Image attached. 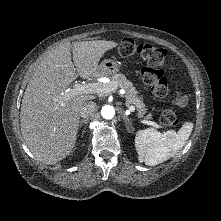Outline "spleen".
<instances>
[{
    "instance_id": "spleen-1",
    "label": "spleen",
    "mask_w": 221,
    "mask_h": 221,
    "mask_svg": "<svg viewBox=\"0 0 221 221\" xmlns=\"http://www.w3.org/2000/svg\"><path fill=\"white\" fill-rule=\"evenodd\" d=\"M192 130V122L184 123L178 132L168 130L160 133L154 128L139 130L135 136L138 160L154 166L170 159L185 145Z\"/></svg>"
}]
</instances>
